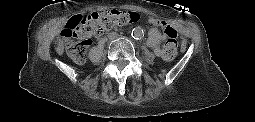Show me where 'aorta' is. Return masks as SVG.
<instances>
[{
	"label": "aorta",
	"mask_w": 255,
	"mask_h": 122,
	"mask_svg": "<svg viewBox=\"0 0 255 122\" xmlns=\"http://www.w3.org/2000/svg\"><path fill=\"white\" fill-rule=\"evenodd\" d=\"M131 35L135 39H139L143 36V30L141 27H135L132 29Z\"/></svg>",
	"instance_id": "762f6f07"
}]
</instances>
